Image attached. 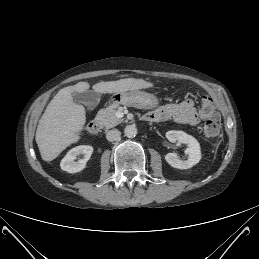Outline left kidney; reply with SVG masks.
<instances>
[{
	"instance_id": "1",
	"label": "left kidney",
	"mask_w": 259,
	"mask_h": 259,
	"mask_svg": "<svg viewBox=\"0 0 259 259\" xmlns=\"http://www.w3.org/2000/svg\"><path fill=\"white\" fill-rule=\"evenodd\" d=\"M166 138L174 143L179 142L186 144L185 154L188 155L187 160H181L176 153H168L165 155L167 163L177 169H189L199 163L201 159V150L198 141L183 131L171 130L166 133Z\"/></svg>"
}]
</instances>
